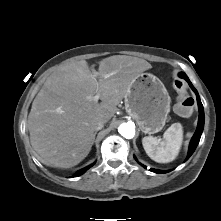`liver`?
I'll return each mask as SVG.
<instances>
[{
  "instance_id": "1",
  "label": "liver",
  "mask_w": 221,
  "mask_h": 221,
  "mask_svg": "<svg viewBox=\"0 0 221 221\" xmlns=\"http://www.w3.org/2000/svg\"><path fill=\"white\" fill-rule=\"evenodd\" d=\"M151 68L146 60L114 55L101 60L96 73L81 60L50 75L35 97L27 121L30 142L40 161L59 168L80 163L93 144L91 123H107L134 79ZM96 94L100 103L92 100Z\"/></svg>"
}]
</instances>
